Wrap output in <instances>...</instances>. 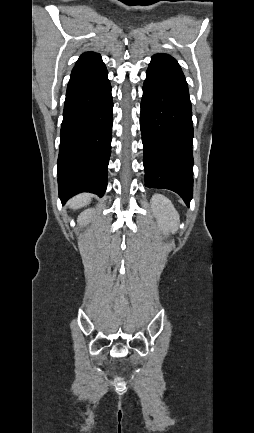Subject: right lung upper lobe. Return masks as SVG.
I'll return each instance as SVG.
<instances>
[{
	"mask_svg": "<svg viewBox=\"0 0 254 433\" xmlns=\"http://www.w3.org/2000/svg\"><path fill=\"white\" fill-rule=\"evenodd\" d=\"M98 58H100V55L98 53L86 52V53H84V54H82L80 56V58L78 59L76 65L82 64V63L91 62V61H94V60H96Z\"/></svg>",
	"mask_w": 254,
	"mask_h": 433,
	"instance_id": "right-lung-upper-lobe-1",
	"label": "right lung upper lobe"
}]
</instances>
